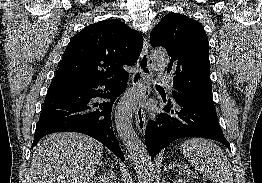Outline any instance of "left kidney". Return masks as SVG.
Segmentation results:
<instances>
[{
	"label": "left kidney",
	"mask_w": 262,
	"mask_h": 183,
	"mask_svg": "<svg viewBox=\"0 0 262 183\" xmlns=\"http://www.w3.org/2000/svg\"><path fill=\"white\" fill-rule=\"evenodd\" d=\"M172 183H188V181L186 179H178V180H174Z\"/></svg>",
	"instance_id": "obj_1"
}]
</instances>
